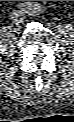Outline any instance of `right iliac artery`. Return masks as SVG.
<instances>
[{"label": "right iliac artery", "mask_w": 74, "mask_h": 122, "mask_svg": "<svg viewBox=\"0 0 74 122\" xmlns=\"http://www.w3.org/2000/svg\"><path fill=\"white\" fill-rule=\"evenodd\" d=\"M19 7H24V5L22 4V5H18Z\"/></svg>", "instance_id": "1"}]
</instances>
